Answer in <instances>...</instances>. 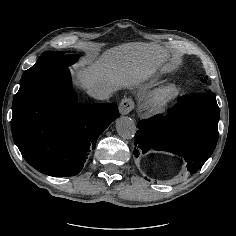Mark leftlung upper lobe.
<instances>
[{
	"instance_id": "1",
	"label": "left lung upper lobe",
	"mask_w": 236,
	"mask_h": 236,
	"mask_svg": "<svg viewBox=\"0 0 236 236\" xmlns=\"http://www.w3.org/2000/svg\"><path fill=\"white\" fill-rule=\"evenodd\" d=\"M205 80H203V82H204ZM207 93H210V94H214V93H212V92H210V91H208Z\"/></svg>"
}]
</instances>
